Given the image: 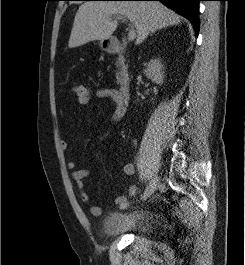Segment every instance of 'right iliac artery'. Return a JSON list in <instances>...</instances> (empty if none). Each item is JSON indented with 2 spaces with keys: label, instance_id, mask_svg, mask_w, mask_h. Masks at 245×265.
I'll list each match as a JSON object with an SVG mask.
<instances>
[{
  "label": "right iliac artery",
  "instance_id": "right-iliac-artery-1",
  "mask_svg": "<svg viewBox=\"0 0 245 265\" xmlns=\"http://www.w3.org/2000/svg\"><path fill=\"white\" fill-rule=\"evenodd\" d=\"M152 181V180H151ZM151 181L149 182V185L147 186L144 194L142 195L141 197V200H146V198L148 197V193H149V189H150V186H151ZM121 209H126L128 206H129V203L127 202H124L122 204L119 205Z\"/></svg>",
  "mask_w": 245,
  "mask_h": 265
}]
</instances>
